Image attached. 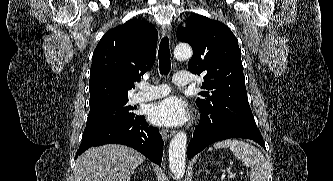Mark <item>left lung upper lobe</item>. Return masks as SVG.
I'll return each instance as SVG.
<instances>
[{
    "mask_svg": "<svg viewBox=\"0 0 333 181\" xmlns=\"http://www.w3.org/2000/svg\"><path fill=\"white\" fill-rule=\"evenodd\" d=\"M177 38L193 49L188 69L204 74L198 107L227 112L256 124L246 93L241 50L231 30L221 22L195 15L187 19L185 28H178Z\"/></svg>",
    "mask_w": 333,
    "mask_h": 181,
    "instance_id": "1",
    "label": "left lung upper lobe"
}]
</instances>
